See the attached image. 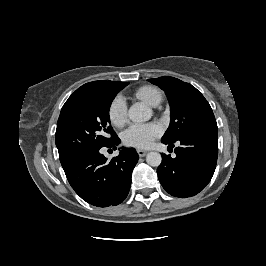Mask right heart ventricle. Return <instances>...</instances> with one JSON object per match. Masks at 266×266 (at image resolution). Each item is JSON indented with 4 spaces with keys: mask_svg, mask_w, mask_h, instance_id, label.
I'll list each match as a JSON object with an SVG mask.
<instances>
[{
    "mask_svg": "<svg viewBox=\"0 0 266 266\" xmlns=\"http://www.w3.org/2000/svg\"><path fill=\"white\" fill-rule=\"evenodd\" d=\"M135 96L151 106H157L162 101V93L151 85H145L135 91Z\"/></svg>",
    "mask_w": 266,
    "mask_h": 266,
    "instance_id": "e07e8e85",
    "label": "right heart ventricle"
}]
</instances>
